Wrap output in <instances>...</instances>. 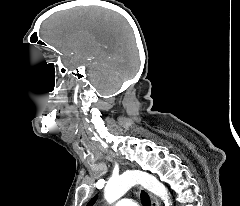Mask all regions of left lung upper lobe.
Wrapping results in <instances>:
<instances>
[{"mask_svg": "<svg viewBox=\"0 0 240 206\" xmlns=\"http://www.w3.org/2000/svg\"><path fill=\"white\" fill-rule=\"evenodd\" d=\"M96 201V197L90 200V202L87 204V206H93Z\"/></svg>", "mask_w": 240, "mask_h": 206, "instance_id": "left-lung-upper-lobe-1", "label": "left lung upper lobe"}]
</instances>
